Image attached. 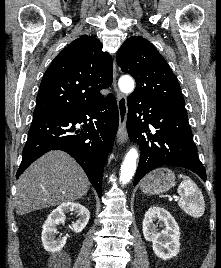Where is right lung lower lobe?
<instances>
[{
	"mask_svg": "<svg viewBox=\"0 0 221 268\" xmlns=\"http://www.w3.org/2000/svg\"><path fill=\"white\" fill-rule=\"evenodd\" d=\"M81 123L82 128H79L77 124ZM118 124L119 112L112 94L94 105L69 113L33 118L16 177L46 152L59 149L81 165L101 197L104 165Z\"/></svg>",
	"mask_w": 221,
	"mask_h": 268,
	"instance_id": "1",
	"label": "right lung lower lobe"
}]
</instances>
